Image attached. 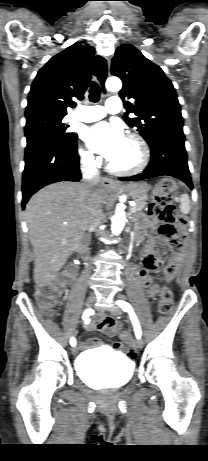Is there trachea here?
Listing matches in <instances>:
<instances>
[{
  "label": "trachea",
  "instance_id": "trachea-1",
  "mask_svg": "<svg viewBox=\"0 0 208 461\" xmlns=\"http://www.w3.org/2000/svg\"><path fill=\"white\" fill-rule=\"evenodd\" d=\"M95 75L98 77L100 82H102L105 73L102 71V63L101 58L98 56L96 59V66H95ZM89 98L92 102H98L100 98V88L97 82L93 81L90 86L89 90Z\"/></svg>",
  "mask_w": 208,
  "mask_h": 461
}]
</instances>
